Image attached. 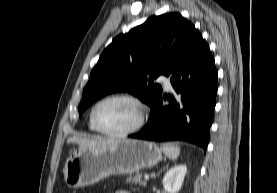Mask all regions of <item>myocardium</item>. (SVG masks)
<instances>
[{"instance_id": "obj_1", "label": "myocardium", "mask_w": 277, "mask_h": 193, "mask_svg": "<svg viewBox=\"0 0 277 193\" xmlns=\"http://www.w3.org/2000/svg\"><path fill=\"white\" fill-rule=\"evenodd\" d=\"M110 100H127L134 103L139 108V119L137 123L131 128H128L126 130L119 131V132H110L102 129L96 122L95 112L101 104ZM148 114H149L148 106L142 99L132 94L120 93V94L109 95L97 101L91 109L90 122L94 127V129L103 135L110 136V137H127L129 135H132L138 132L143 128V126L147 121Z\"/></svg>"}]
</instances>
